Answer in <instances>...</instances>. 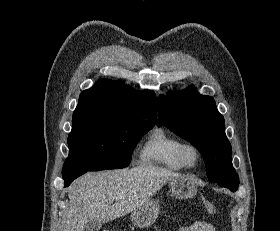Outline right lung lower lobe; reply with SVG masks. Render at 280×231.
<instances>
[{"mask_svg":"<svg viewBox=\"0 0 280 231\" xmlns=\"http://www.w3.org/2000/svg\"><path fill=\"white\" fill-rule=\"evenodd\" d=\"M85 170H63L62 175L65 187L69 186L71 182L82 174L86 173Z\"/></svg>","mask_w":280,"mask_h":231,"instance_id":"right-lung-lower-lobe-1","label":"right lung lower lobe"}]
</instances>
